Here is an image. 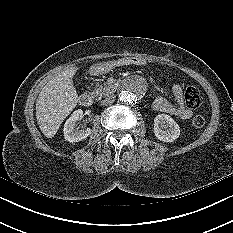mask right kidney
<instances>
[{"mask_svg":"<svg viewBox=\"0 0 233 233\" xmlns=\"http://www.w3.org/2000/svg\"><path fill=\"white\" fill-rule=\"evenodd\" d=\"M83 116V111L78 109L73 112L64 124V138L69 142H79L91 134V129H76V122Z\"/></svg>","mask_w":233,"mask_h":233,"instance_id":"1","label":"right kidney"}]
</instances>
